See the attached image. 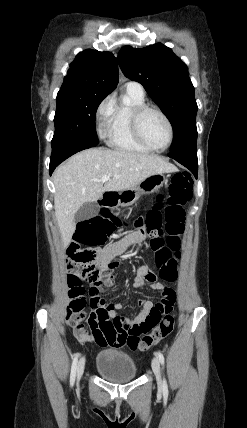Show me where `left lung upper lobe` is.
<instances>
[{
  "instance_id": "1",
  "label": "left lung upper lobe",
  "mask_w": 247,
  "mask_h": 428,
  "mask_svg": "<svg viewBox=\"0 0 247 428\" xmlns=\"http://www.w3.org/2000/svg\"><path fill=\"white\" fill-rule=\"evenodd\" d=\"M118 61L124 75L141 83L169 118L175 133L171 153L197 151V103L186 65L161 43L124 46Z\"/></svg>"
}]
</instances>
